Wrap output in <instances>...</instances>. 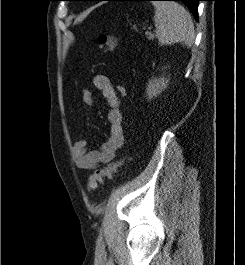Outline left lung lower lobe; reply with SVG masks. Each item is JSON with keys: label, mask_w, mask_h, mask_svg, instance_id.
Returning <instances> with one entry per match:
<instances>
[{"label": "left lung lower lobe", "mask_w": 245, "mask_h": 265, "mask_svg": "<svg viewBox=\"0 0 245 265\" xmlns=\"http://www.w3.org/2000/svg\"><path fill=\"white\" fill-rule=\"evenodd\" d=\"M81 1H124V0H81ZM142 1H153V0H142ZM172 1L183 2L192 11L195 18L198 19V2L202 0H172Z\"/></svg>", "instance_id": "left-lung-lower-lobe-1"}]
</instances>
